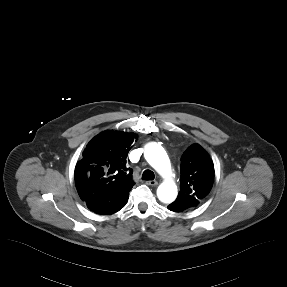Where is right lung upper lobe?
<instances>
[{
    "mask_svg": "<svg viewBox=\"0 0 287 287\" xmlns=\"http://www.w3.org/2000/svg\"><path fill=\"white\" fill-rule=\"evenodd\" d=\"M137 135L107 130L94 137L86 146L75 167V184L79 196L117 188L131 190L132 170L126 168V158Z\"/></svg>",
    "mask_w": 287,
    "mask_h": 287,
    "instance_id": "obj_1",
    "label": "right lung upper lobe"
}]
</instances>
